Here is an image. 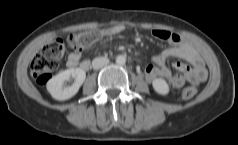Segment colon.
Instances as JSON below:
<instances>
[{
    "label": "colon",
    "mask_w": 238,
    "mask_h": 145,
    "mask_svg": "<svg viewBox=\"0 0 238 145\" xmlns=\"http://www.w3.org/2000/svg\"><path fill=\"white\" fill-rule=\"evenodd\" d=\"M99 37L100 32L96 30L73 33L68 36L67 44L75 51H82L97 41ZM65 50L66 42L58 38L45 45L33 58L30 71L38 84H46L52 78ZM196 92L197 89L195 87H186L182 90L181 97L183 99H191Z\"/></svg>",
    "instance_id": "obj_1"
}]
</instances>
